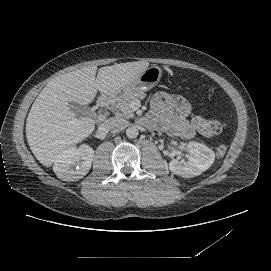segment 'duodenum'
<instances>
[{
  "label": "duodenum",
  "mask_w": 271,
  "mask_h": 271,
  "mask_svg": "<svg viewBox=\"0 0 271 271\" xmlns=\"http://www.w3.org/2000/svg\"><path fill=\"white\" fill-rule=\"evenodd\" d=\"M113 100L112 94H103L99 97L97 105L100 109L101 116H104Z\"/></svg>",
  "instance_id": "410a0bca"
}]
</instances>
